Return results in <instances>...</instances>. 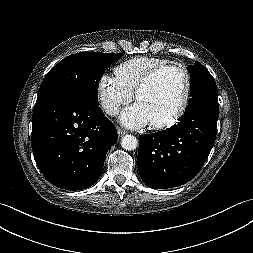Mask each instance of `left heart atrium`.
<instances>
[{"instance_id": "1", "label": "left heart atrium", "mask_w": 253, "mask_h": 253, "mask_svg": "<svg viewBox=\"0 0 253 253\" xmlns=\"http://www.w3.org/2000/svg\"><path fill=\"white\" fill-rule=\"evenodd\" d=\"M120 121L129 128H140L150 123L149 116L138 103L126 108L121 113Z\"/></svg>"}]
</instances>
